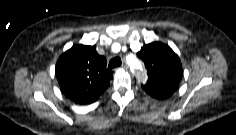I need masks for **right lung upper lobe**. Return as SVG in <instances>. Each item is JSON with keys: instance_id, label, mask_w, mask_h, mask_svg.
I'll use <instances>...</instances> for the list:
<instances>
[{"instance_id": "cb5924a9", "label": "right lung upper lobe", "mask_w": 236, "mask_h": 135, "mask_svg": "<svg viewBox=\"0 0 236 135\" xmlns=\"http://www.w3.org/2000/svg\"><path fill=\"white\" fill-rule=\"evenodd\" d=\"M56 77L62 92L73 102L87 105L106 90L113 72L96 46L75 45L63 53L56 64Z\"/></svg>"}]
</instances>
